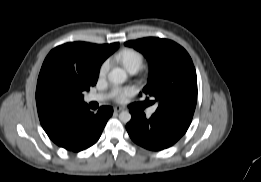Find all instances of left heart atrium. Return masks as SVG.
Instances as JSON below:
<instances>
[{"label":"left heart atrium","mask_w":261,"mask_h":182,"mask_svg":"<svg viewBox=\"0 0 261 182\" xmlns=\"http://www.w3.org/2000/svg\"><path fill=\"white\" fill-rule=\"evenodd\" d=\"M133 92L132 88H116L112 91V97L118 102H123Z\"/></svg>","instance_id":"39dd6f15"}]
</instances>
